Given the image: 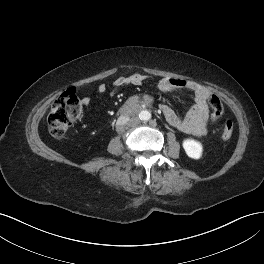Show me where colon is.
I'll use <instances>...</instances> for the list:
<instances>
[{
    "mask_svg": "<svg viewBox=\"0 0 264 264\" xmlns=\"http://www.w3.org/2000/svg\"><path fill=\"white\" fill-rule=\"evenodd\" d=\"M208 103L211 108V121H217L224 112L221 100L214 94L208 96ZM82 108L75 90L69 89L62 93L53 103L48 115L49 131L55 138H62L70 125L81 114ZM234 124L227 120L224 123L222 138L229 140L233 135Z\"/></svg>",
    "mask_w": 264,
    "mask_h": 264,
    "instance_id": "5ec220e1",
    "label": "colon"
}]
</instances>
